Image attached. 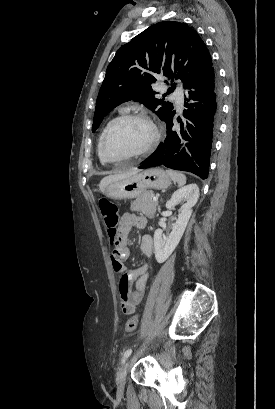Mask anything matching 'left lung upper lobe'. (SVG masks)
Masks as SVG:
<instances>
[{"label": "left lung upper lobe", "mask_w": 275, "mask_h": 409, "mask_svg": "<svg viewBox=\"0 0 275 409\" xmlns=\"http://www.w3.org/2000/svg\"><path fill=\"white\" fill-rule=\"evenodd\" d=\"M211 66L204 41L187 24L164 21L148 27L122 45L108 65L96 101L92 131L113 108L132 99L165 121L173 104L155 96L154 75L162 73L171 79L167 91L170 94L175 89L174 79H180L185 88Z\"/></svg>", "instance_id": "5c2ea615"}]
</instances>
